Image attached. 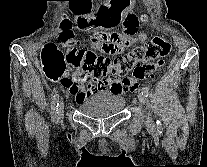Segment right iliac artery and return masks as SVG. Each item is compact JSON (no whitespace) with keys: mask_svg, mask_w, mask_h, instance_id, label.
<instances>
[{"mask_svg":"<svg viewBox=\"0 0 207 167\" xmlns=\"http://www.w3.org/2000/svg\"><path fill=\"white\" fill-rule=\"evenodd\" d=\"M58 101H59V95L56 94V95H54L52 103H51V117L55 123H57L59 120V114H58L59 103H58Z\"/></svg>","mask_w":207,"mask_h":167,"instance_id":"obj_1","label":"right iliac artery"}]
</instances>
